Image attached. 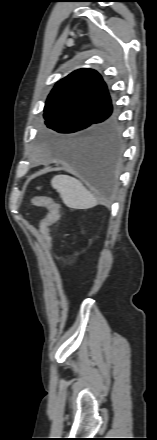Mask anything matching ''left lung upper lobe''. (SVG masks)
I'll return each mask as SVG.
<instances>
[{
  "mask_svg": "<svg viewBox=\"0 0 157 440\" xmlns=\"http://www.w3.org/2000/svg\"><path fill=\"white\" fill-rule=\"evenodd\" d=\"M102 77L79 69L56 83L44 107L46 125L61 137L79 140L107 127L115 118Z\"/></svg>",
  "mask_w": 157,
  "mask_h": 440,
  "instance_id": "obj_1",
  "label": "left lung upper lobe"
}]
</instances>
